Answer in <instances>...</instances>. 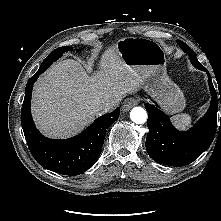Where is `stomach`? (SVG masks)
<instances>
[{
    "label": "stomach",
    "instance_id": "obj_1",
    "mask_svg": "<svg viewBox=\"0 0 221 221\" xmlns=\"http://www.w3.org/2000/svg\"><path fill=\"white\" fill-rule=\"evenodd\" d=\"M124 63L139 75L142 88L168 113L185 108L182 91L166 74V56L163 48L154 40L127 37L116 44Z\"/></svg>",
    "mask_w": 221,
    "mask_h": 221
}]
</instances>
